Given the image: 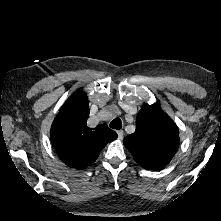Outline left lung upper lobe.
Here are the masks:
<instances>
[{
  "mask_svg": "<svg viewBox=\"0 0 221 221\" xmlns=\"http://www.w3.org/2000/svg\"><path fill=\"white\" fill-rule=\"evenodd\" d=\"M123 143L143 168L158 169L176 153L179 130L159 105H148L136 117V131L126 136Z\"/></svg>",
  "mask_w": 221,
  "mask_h": 221,
  "instance_id": "1",
  "label": "left lung upper lobe"
}]
</instances>
